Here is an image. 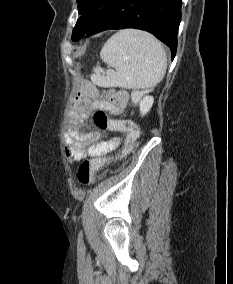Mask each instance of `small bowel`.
I'll list each match as a JSON object with an SVG mask.
<instances>
[{"label":"small bowel","mask_w":233,"mask_h":284,"mask_svg":"<svg viewBox=\"0 0 233 284\" xmlns=\"http://www.w3.org/2000/svg\"><path fill=\"white\" fill-rule=\"evenodd\" d=\"M129 95L122 90H100L96 86L80 84L71 100L70 121L67 129L65 153L69 163L73 164L86 157H102L118 148L120 139L112 137L100 140L98 132L82 133L84 121L94 110H104L118 115L125 109ZM134 124L131 121H123Z\"/></svg>","instance_id":"1"}]
</instances>
